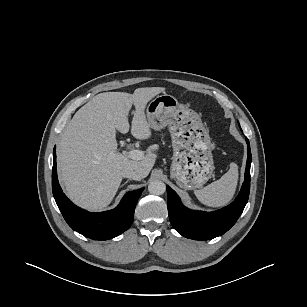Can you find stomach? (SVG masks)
I'll return each instance as SVG.
<instances>
[{"label": "stomach", "instance_id": "1", "mask_svg": "<svg viewBox=\"0 0 307 307\" xmlns=\"http://www.w3.org/2000/svg\"><path fill=\"white\" fill-rule=\"evenodd\" d=\"M154 130L168 126L174 150L171 176L177 184L192 190L202 187L212 176V143L200 116L166 93L154 98L146 109Z\"/></svg>", "mask_w": 307, "mask_h": 307}]
</instances>
